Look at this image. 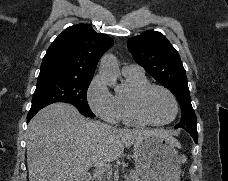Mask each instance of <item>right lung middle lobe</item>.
Wrapping results in <instances>:
<instances>
[{
	"label": "right lung middle lobe",
	"mask_w": 228,
	"mask_h": 181,
	"mask_svg": "<svg viewBox=\"0 0 228 181\" xmlns=\"http://www.w3.org/2000/svg\"><path fill=\"white\" fill-rule=\"evenodd\" d=\"M92 79H73L62 76L38 77L31 109H42L55 102L74 105L86 117H95L87 103V89Z\"/></svg>",
	"instance_id": "right-lung-middle-lobe-1"
}]
</instances>
